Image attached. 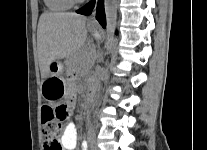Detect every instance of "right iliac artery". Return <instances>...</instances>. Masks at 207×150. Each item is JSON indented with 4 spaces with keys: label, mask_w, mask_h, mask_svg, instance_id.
Segmentation results:
<instances>
[{
    "label": "right iliac artery",
    "mask_w": 207,
    "mask_h": 150,
    "mask_svg": "<svg viewBox=\"0 0 207 150\" xmlns=\"http://www.w3.org/2000/svg\"><path fill=\"white\" fill-rule=\"evenodd\" d=\"M82 145H83V150H85L87 148V143L84 142Z\"/></svg>",
    "instance_id": "1"
}]
</instances>
